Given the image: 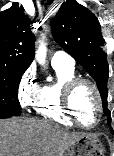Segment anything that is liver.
<instances>
[{
  "instance_id": "6515ba94",
  "label": "liver",
  "mask_w": 114,
  "mask_h": 156,
  "mask_svg": "<svg viewBox=\"0 0 114 156\" xmlns=\"http://www.w3.org/2000/svg\"><path fill=\"white\" fill-rule=\"evenodd\" d=\"M84 134L48 120L13 117L0 120V156H62Z\"/></svg>"
}]
</instances>
